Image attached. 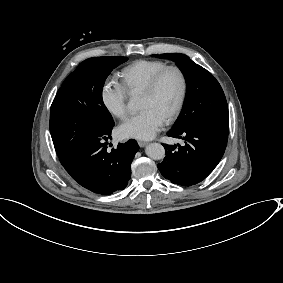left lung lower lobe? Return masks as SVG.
Wrapping results in <instances>:
<instances>
[{
	"label": "left lung lower lobe",
	"mask_w": 283,
	"mask_h": 283,
	"mask_svg": "<svg viewBox=\"0 0 283 283\" xmlns=\"http://www.w3.org/2000/svg\"><path fill=\"white\" fill-rule=\"evenodd\" d=\"M228 123L194 126L185 130H170L167 135L183 138L185 145L163 144L166 156L158 169L164 178L182 186L204 180L221 160L228 139Z\"/></svg>",
	"instance_id": "obj_1"
}]
</instances>
